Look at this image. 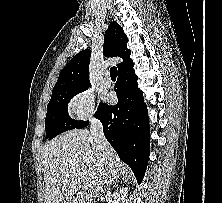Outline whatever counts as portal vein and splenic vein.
I'll use <instances>...</instances> for the list:
<instances>
[{"label": "portal vein and splenic vein", "mask_w": 222, "mask_h": 203, "mask_svg": "<svg viewBox=\"0 0 222 203\" xmlns=\"http://www.w3.org/2000/svg\"><path fill=\"white\" fill-rule=\"evenodd\" d=\"M83 187L84 188H88L89 187V183L86 180H83Z\"/></svg>", "instance_id": "portal-vein-and-splenic-vein-1"}]
</instances>
